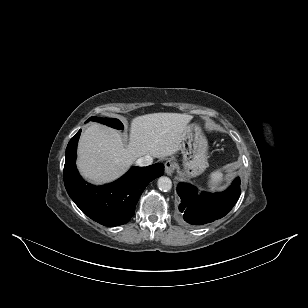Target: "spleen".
<instances>
[{
  "label": "spleen",
  "instance_id": "obj_1",
  "mask_svg": "<svg viewBox=\"0 0 308 308\" xmlns=\"http://www.w3.org/2000/svg\"><path fill=\"white\" fill-rule=\"evenodd\" d=\"M223 180H224V174L221 169L213 171L209 175L208 188L211 191L219 189L221 187L220 184L222 183Z\"/></svg>",
  "mask_w": 308,
  "mask_h": 308
}]
</instances>
